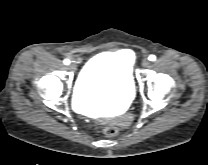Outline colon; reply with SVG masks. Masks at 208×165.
I'll list each match as a JSON object with an SVG mask.
<instances>
[{
    "mask_svg": "<svg viewBox=\"0 0 208 165\" xmlns=\"http://www.w3.org/2000/svg\"><path fill=\"white\" fill-rule=\"evenodd\" d=\"M101 127L103 133L108 137H114L119 133V128L113 123L104 122L102 123Z\"/></svg>",
    "mask_w": 208,
    "mask_h": 165,
    "instance_id": "5ec220e1",
    "label": "colon"
}]
</instances>
